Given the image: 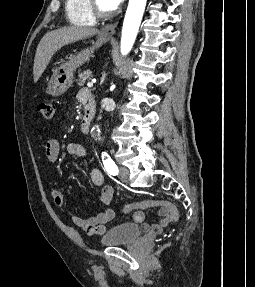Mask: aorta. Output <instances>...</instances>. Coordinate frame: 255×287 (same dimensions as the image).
I'll use <instances>...</instances> for the list:
<instances>
[{"label": "aorta", "mask_w": 255, "mask_h": 287, "mask_svg": "<svg viewBox=\"0 0 255 287\" xmlns=\"http://www.w3.org/2000/svg\"><path fill=\"white\" fill-rule=\"evenodd\" d=\"M146 1L147 0H129L123 22L120 43L121 53L123 55H127L133 47L146 6ZM96 127L98 136L100 137L101 131L99 125Z\"/></svg>", "instance_id": "1"}]
</instances>
